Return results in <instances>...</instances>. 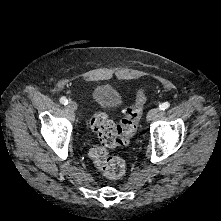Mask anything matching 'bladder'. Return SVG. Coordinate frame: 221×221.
<instances>
[{
    "label": "bladder",
    "instance_id": "1",
    "mask_svg": "<svg viewBox=\"0 0 221 221\" xmlns=\"http://www.w3.org/2000/svg\"><path fill=\"white\" fill-rule=\"evenodd\" d=\"M92 99L99 107L109 109L117 107L121 101L118 91L108 84L96 86L92 91Z\"/></svg>",
    "mask_w": 221,
    "mask_h": 221
}]
</instances>
